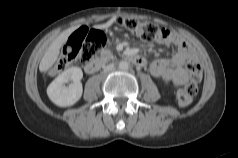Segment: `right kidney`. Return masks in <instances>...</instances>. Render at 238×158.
Listing matches in <instances>:
<instances>
[{
    "label": "right kidney",
    "mask_w": 238,
    "mask_h": 158,
    "mask_svg": "<svg viewBox=\"0 0 238 158\" xmlns=\"http://www.w3.org/2000/svg\"><path fill=\"white\" fill-rule=\"evenodd\" d=\"M82 77L83 72L79 67H71L63 71L48 86L49 99L59 107L74 105L82 96ZM69 81L72 83L66 87L65 83Z\"/></svg>",
    "instance_id": "obj_1"
}]
</instances>
